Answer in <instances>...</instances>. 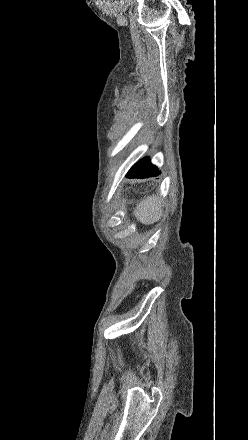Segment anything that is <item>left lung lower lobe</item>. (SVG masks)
Segmentation results:
<instances>
[{
	"mask_svg": "<svg viewBox=\"0 0 248 440\" xmlns=\"http://www.w3.org/2000/svg\"><path fill=\"white\" fill-rule=\"evenodd\" d=\"M160 172L156 166L150 163V160L144 158L137 162L127 173V178H148L159 175Z\"/></svg>",
	"mask_w": 248,
	"mask_h": 440,
	"instance_id": "left-lung-lower-lobe-1",
	"label": "left lung lower lobe"
}]
</instances>
